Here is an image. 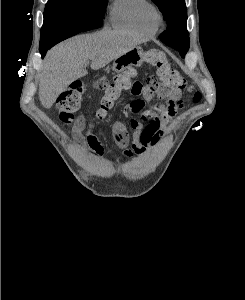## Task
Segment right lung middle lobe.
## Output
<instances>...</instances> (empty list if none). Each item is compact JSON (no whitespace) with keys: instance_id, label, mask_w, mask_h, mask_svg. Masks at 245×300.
<instances>
[{"instance_id":"obj_1","label":"right lung middle lobe","mask_w":245,"mask_h":300,"mask_svg":"<svg viewBox=\"0 0 245 300\" xmlns=\"http://www.w3.org/2000/svg\"><path fill=\"white\" fill-rule=\"evenodd\" d=\"M108 0H48L41 28L40 47L54 46L83 32L85 24L101 22Z\"/></svg>"}]
</instances>
